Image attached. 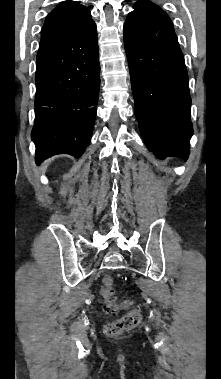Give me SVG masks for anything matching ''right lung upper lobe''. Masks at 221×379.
Returning <instances> with one entry per match:
<instances>
[{"mask_svg":"<svg viewBox=\"0 0 221 379\" xmlns=\"http://www.w3.org/2000/svg\"><path fill=\"white\" fill-rule=\"evenodd\" d=\"M91 22L90 11L85 6L71 0L61 2L46 17L39 50L76 36Z\"/></svg>","mask_w":221,"mask_h":379,"instance_id":"right-lung-upper-lobe-1","label":"right lung upper lobe"}]
</instances>
